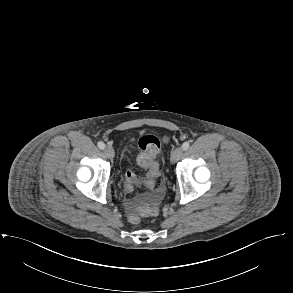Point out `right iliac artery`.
<instances>
[{"label":"right iliac artery","mask_w":293,"mask_h":293,"mask_svg":"<svg viewBox=\"0 0 293 293\" xmlns=\"http://www.w3.org/2000/svg\"><path fill=\"white\" fill-rule=\"evenodd\" d=\"M98 147H99L101 150H103V149L105 148V144H104L102 141H100V142H98Z\"/></svg>","instance_id":"82829eb1"}]
</instances>
